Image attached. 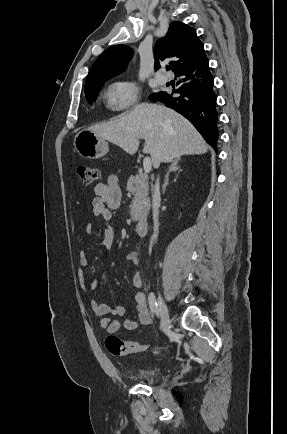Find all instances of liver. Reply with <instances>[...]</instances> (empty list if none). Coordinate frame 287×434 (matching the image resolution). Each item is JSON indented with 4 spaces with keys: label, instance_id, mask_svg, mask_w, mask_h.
I'll list each match as a JSON object with an SVG mask.
<instances>
[{
    "label": "liver",
    "instance_id": "obj_1",
    "mask_svg": "<svg viewBox=\"0 0 287 434\" xmlns=\"http://www.w3.org/2000/svg\"><path fill=\"white\" fill-rule=\"evenodd\" d=\"M98 136L133 155L139 139H145L143 153L151 155L153 167L183 155H200L209 146L193 125L164 105L141 103L119 119L89 128Z\"/></svg>",
    "mask_w": 287,
    "mask_h": 434
}]
</instances>
